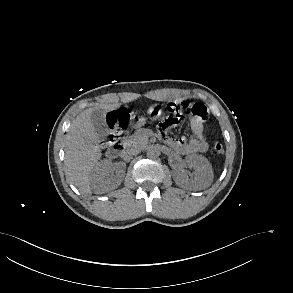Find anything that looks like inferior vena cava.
I'll use <instances>...</instances> for the list:
<instances>
[{"label":"inferior vena cava","instance_id":"inferior-vena-cava-1","mask_svg":"<svg viewBox=\"0 0 293 293\" xmlns=\"http://www.w3.org/2000/svg\"><path fill=\"white\" fill-rule=\"evenodd\" d=\"M124 153L126 156H135L140 153V148H137V147L129 148Z\"/></svg>","mask_w":293,"mask_h":293}]
</instances>
